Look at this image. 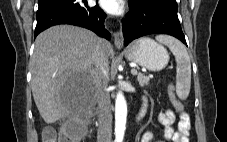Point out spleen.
<instances>
[{
	"mask_svg": "<svg viewBox=\"0 0 227 142\" xmlns=\"http://www.w3.org/2000/svg\"><path fill=\"white\" fill-rule=\"evenodd\" d=\"M156 40L169 47L176 59V93L184 100L191 87V63L185 46L175 38L167 35L156 36Z\"/></svg>",
	"mask_w": 227,
	"mask_h": 142,
	"instance_id": "obj_1",
	"label": "spleen"
}]
</instances>
